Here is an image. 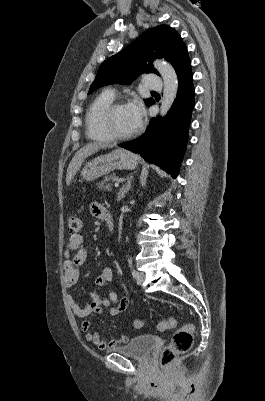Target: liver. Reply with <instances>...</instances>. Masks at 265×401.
I'll list each match as a JSON object with an SVG mask.
<instances>
[{
    "label": "liver",
    "mask_w": 265,
    "mask_h": 401,
    "mask_svg": "<svg viewBox=\"0 0 265 401\" xmlns=\"http://www.w3.org/2000/svg\"><path fill=\"white\" fill-rule=\"evenodd\" d=\"M106 146L110 148V146H113V144H109V142H88V144L82 146L80 150H77L71 162H69V166L67 168V184H70L71 180H73L77 170H79L82 162H84L87 156H90V154H94V152H98L99 148H106Z\"/></svg>",
    "instance_id": "liver-1"
}]
</instances>
